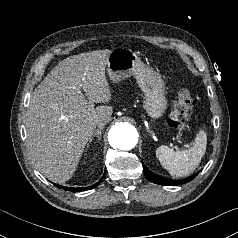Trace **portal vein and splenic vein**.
I'll return each mask as SVG.
<instances>
[{
  "instance_id": "portal-vein-and-splenic-vein-1",
  "label": "portal vein and splenic vein",
  "mask_w": 238,
  "mask_h": 238,
  "mask_svg": "<svg viewBox=\"0 0 238 238\" xmlns=\"http://www.w3.org/2000/svg\"><path fill=\"white\" fill-rule=\"evenodd\" d=\"M93 106H94L93 103H90V104H89V107H90V108H93Z\"/></svg>"
}]
</instances>
